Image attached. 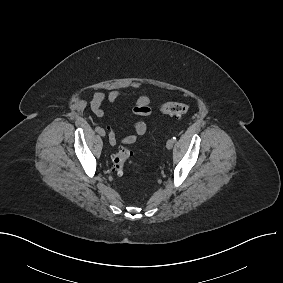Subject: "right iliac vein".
<instances>
[{"label": "right iliac vein", "mask_w": 283, "mask_h": 283, "mask_svg": "<svg viewBox=\"0 0 283 283\" xmlns=\"http://www.w3.org/2000/svg\"><path fill=\"white\" fill-rule=\"evenodd\" d=\"M99 134H100L102 137H104V136L106 135L104 129H101L100 132H99Z\"/></svg>", "instance_id": "right-iliac-vein-1"}]
</instances>
